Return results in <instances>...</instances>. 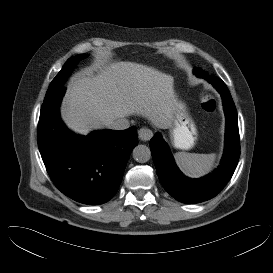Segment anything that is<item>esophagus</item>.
Here are the masks:
<instances>
[{
  "mask_svg": "<svg viewBox=\"0 0 273 273\" xmlns=\"http://www.w3.org/2000/svg\"><path fill=\"white\" fill-rule=\"evenodd\" d=\"M138 136L141 140L143 141H148L152 138L153 136V133L150 129L148 128H141L139 131H138Z\"/></svg>",
  "mask_w": 273,
  "mask_h": 273,
  "instance_id": "esophagus-1",
  "label": "esophagus"
}]
</instances>
